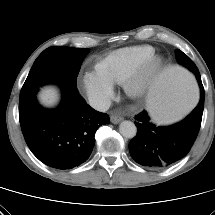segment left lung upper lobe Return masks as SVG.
<instances>
[{"label": "left lung upper lobe", "mask_w": 215, "mask_h": 215, "mask_svg": "<svg viewBox=\"0 0 215 215\" xmlns=\"http://www.w3.org/2000/svg\"><path fill=\"white\" fill-rule=\"evenodd\" d=\"M176 58L178 62L194 73L196 78H201L200 73L194 62L181 50H176Z\"/></svg>", "instance_id": "5c2ea615"}]
</instances>
